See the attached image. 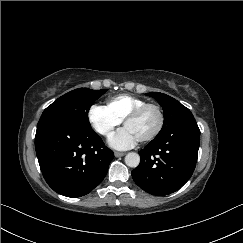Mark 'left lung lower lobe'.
Returning a JSON list of instances; mask_svg holds the SVG:
<instances>
[{
  "mask_svg": "<svg viewBox=\"0 0 243 243\" xmlns=\"http://www.w3.org/2000/svg\"><path fill=\"white\" fill-rule=\"evenodd\" d=\"M199 139L200 130L194 118L157 135L139 151L141 160L132 171L133 180L153 195L163 196L177 191L194 172Z\"/></svg>",
  "mask_w": 243,
  "mask_h": 243,
  "instance_id": "0a47b994",
  "label": "left lung lower lobe"
}]
</instances>
